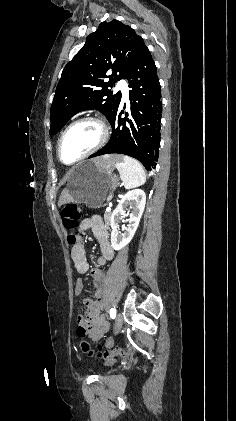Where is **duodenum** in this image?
Returning a JSON list of instances; mask_svg holds the SVG:
<instances>
[{
    "label": "duodenum",
    "mask_w": 236,
    "mask_h": 421,
    "mask_svg": "<svg viewBox=\"0 0 236 421\" xmlns=\"http://www.w3.org/2000/svg\"><path fill=\"white\" fill-rule=\"evenodd\" d=\"M113 258V250L109 246H103L102 255L98 258L99 265H104ZM93 278L97 283V290L95 295V302L93 303L94 307L92 308V315L90 320H84L83 327L84 332L88 334L95 335L99 333L98 321L96 320V311L101 309L104 305V296H103V278L104 271L102 269H95L93 271Z\"/></svg>",
    "instance_id": "duodenum-1"
}]
</instances>
